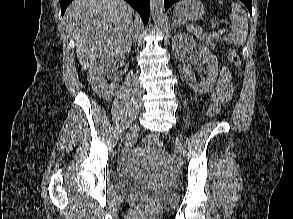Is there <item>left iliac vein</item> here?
Segmentation results:
<instances>
[{"instance_id": "4c4485c4", "label": "left iliac vein", "mask_w": 293, "mask_h": 219, "mask_svg": "<svg viewBox=\"0 0 293 219\" xmlns=\"http://www.w3.org/2000/svg\"><path fill=\"white\" fill-rule=\"evenodd\" d=\"M176 144H177V147L179 149L180 155H182L184 151H183V147H182V143H181L180 139L177 138V143Z\"/></svg>"}]
</instances>
